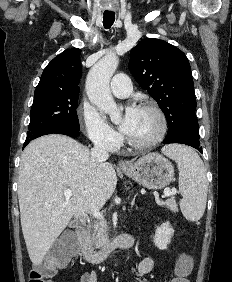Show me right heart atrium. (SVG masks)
I'll use <instances>...</instances> for the list:
<instances>
[{"instance_id": "obj_1", "label": "right heart atrium", "mask_w": 232, "mask_h": 282, "mask_svg": "<svg viewBox=\"0 0 232 282\" xmlns=\"http://www.w3.org/2000/svg\"><path fill=\"white\" fill-rule=\"evenodd\" d=\"M80 118L89 139L98 146L112 150L119 143L118 133L89 104L80 108Z\"/></svg>"}]
</instances>
